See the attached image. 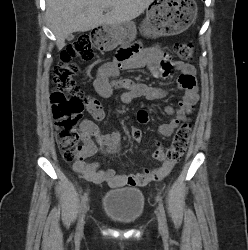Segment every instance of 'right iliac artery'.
<instances>
[{"label": "right iliac artery", "mask_w": 248, "mask_h": 250, "mask_svg": "<svg viewBox=\"0 0 248 250\" xmlns=\"http://www.w3.org/2000/svg\"><path fill=\"white\" fill-rule=\"evenodd\" d=\"M87 196H88V193H84V195L82 196V199H81V205H80V215H79V221H78V228L80 226V223H81V216H82V213H83V210L85 208V205H86V201H87Z\"/></svg>", "instance_id": "82829eb1"}]
</instances>
